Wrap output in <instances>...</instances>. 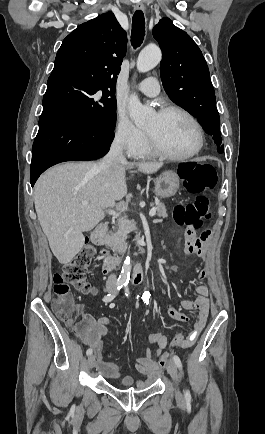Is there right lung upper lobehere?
Masks as SVG:
<instances>
[{"label":"right lung upper lobe","mask_w":265,"mask_h":434,"mask_svg":"<svg viewBox=\"0 0 265 434\" xmlns=\"http://www.w3.org/2000/svg\"><path fill=\"white\" fill-rule=\"evenodd\" d=\"M126 51V32L114 14H101L63 40L50 77L82 75L115 84Z\"/></svg>","instance_id":"obj_1"}]
</instances>
